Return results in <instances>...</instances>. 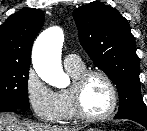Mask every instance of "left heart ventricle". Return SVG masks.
<instances>
[{"label": "left heart ventricle", "mask_w": 147, "mask_h": 131, "mask_svg": "<svg viewBox=\"0 0 147 131\" xmlns=\"http://www.w3.org/2000/svg\"><path fill=\"white\" fill-rule=\"evenodd\" d=\"M81 99L87 114L100 115L107 111L111 103L109 87L101 77L93 76L85 82Z\"/></svg>", "instance_id": "obj_1"}]
</instances>
